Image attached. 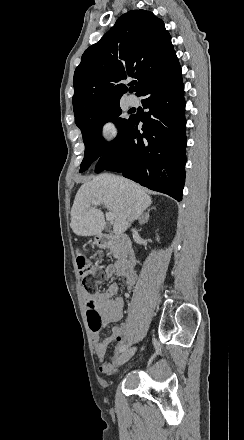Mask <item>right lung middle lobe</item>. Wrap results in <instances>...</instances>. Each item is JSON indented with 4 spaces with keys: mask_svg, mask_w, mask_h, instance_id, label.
<instances>
[{
    "mask_svg": "<svg viewBox=\"0 0 244 440\" xmlns=\"http://www.w3.org/2000/svg\"><path fill=\"white\" fill-rule=\"evenodd\" d=\"M119 100H106L92 107L74 110L75 123L82 131L85 144V156L80 165V172L87 170L95 160L108 151L127 125L129 119L117 118L122 113ZM109 120L119 129L118 136L110 143L105 142L101 136L102 126Z\"/></svg>",
    "mask_w": 244,
    "mask_h": 440,
    "instance_id": "obj_1",
    "label": "right lung middle lobe"
}]
</instances>
